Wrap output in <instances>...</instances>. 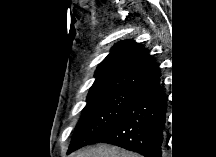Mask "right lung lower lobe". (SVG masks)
Segmentation results:
<instances>
[{
	"mask_svg": "<svg viewBox=\"0 0 216 157\" xmlns=\"http://www.w3.org/2000/svg\"><path fill=\"white\" fill-rule=\"evenodd\" d=\"M166 114L167 96L158 77L134 90L119 120L93 143H109L144 157H163Z\"/></svg>",
	"mask_w": 216,
	"mask_h": 157,
	"instance_id": "1",
	"label": "right lung lower lobe"
}]
</instances>
